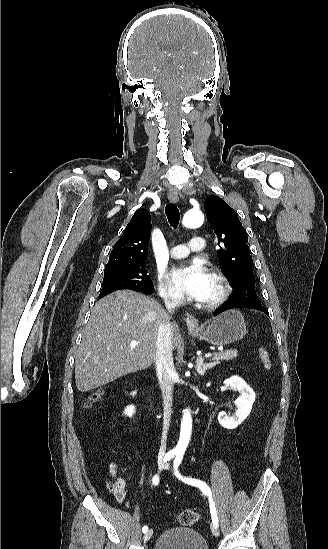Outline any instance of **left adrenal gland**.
<instances>
[{
  "label": "left adrenal gland",
  "instance_id": "a2214340",
  "mask_svg": "<svg viewBox=\"0 0 328 549\" xmlns=\"http://www.w3.org/2000/svg\"><path fill=\"white\" fill-rule=\"evenodd\" d=\"M196 367L199 375H204L205 371L212 369L213 363H203V361H199V359H197Z\"/></svg>",
  "mask_w": 328,
  "mask_h": 549
}]
</instances>
